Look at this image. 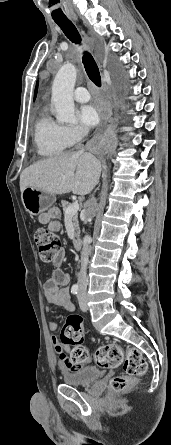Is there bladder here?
<instances>
[{
	"mask_svg": "<svg viewBox=\"0 0 171 445\" xmlns=\"http://www.w3.org/2000/svg\"><path fill=\"white\" fill-rule=\"evenodd\" d=\"M105 371L92 366L81 367L72 371L64 372L62 378L68 385H90L98 381Z\"/></svg>",
	"mask_w": 171,
	"mask_h": 445,
	"instance_id": "obj_1",
	"label": "bladder"
}]
</instances>
